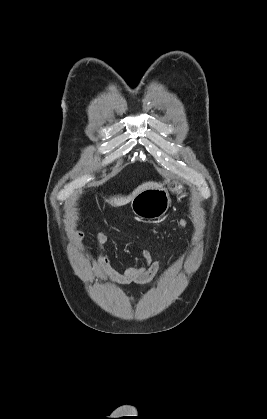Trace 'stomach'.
<instances>
[{
	"mask_svg": "<svg viewBox=\"0 0 267 419\" xmlns=\"http://www.w3.org/2000/svg\"><path fill=\"white\" fill-rule=\"evenodd\" d=\"M169 190L182 197L185 186L180 181H172L168 188L160 186L141 191L131 200L133 213L143 219L161 218L166 214L171 204Z\"/></svg>",
	"mask_w": 267,
	"mask_h": 419,
	"instance_id": "0dacf381",
	"label": "stomach"
}]
</instances>
